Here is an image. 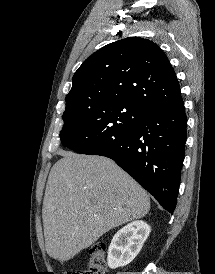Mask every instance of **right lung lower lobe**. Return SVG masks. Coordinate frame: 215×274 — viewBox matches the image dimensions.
<instances>
[{
	"mask_svg": "<svg viewBox=\"0 0 215 274\" xmlns=\"http://www.w3.org/2000/svg\"><path fill=\"white\" fill-rule=\"evenodd\" d=\"M183 100L145 112L124 136L87 154L113 159L159 204L173 213L176 207L181 167L187 138Z\"/></svg>",
	"mask_w": 215,
	"mask_h": 274,
	"instance_id": "98d812e1",
	"label": "right lung lower lobe"
}]
</instances>
